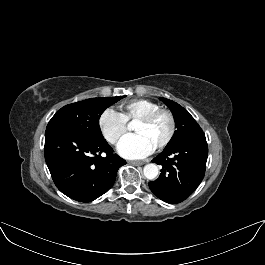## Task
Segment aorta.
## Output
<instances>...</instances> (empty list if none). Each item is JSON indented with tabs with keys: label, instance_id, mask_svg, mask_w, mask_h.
<instances>
[{
	"label": "aorta",
	"instance_id": "aorta-1",
	"mask_svg": "<svg viewBox=\"0 0 265 265\" xmlns=\"http://www.w3.org/2000/svg\"><path fill=\"white\" fill-rule=\"evenodd\" d=\"M158 172H159V170H158L157 165L156 164H153V163L147 164L144 167V169H143L144 176L147 179H150V180L156 178L157 175H158Z\"/></svg>",
	"mask_w": 265,
	"mask_h": 265
}]
</instances>
